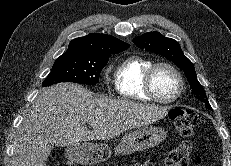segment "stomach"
Instances as JSON below:
<instances>
[{
    "mask_svg": "<svg viewBox=\"0 0 231 166\" xmlns=\"http://www.w3.org/2000/svg\"><path fill=\"white\" fill-rule=\"evenodd\" d=\"M166 135L161 127H142L123 138L114 148L115 155H127L152 148L160 144ZM111 155L110 147L103 143L78 142L66 149L67 159L81 165L99 164L109 159Z\"/></svg>",
    "mask_w": 231,
    "mask_h": 166,
    "instance_id": "stomach-1",
    "label": "stomach"
}]
</instances>
